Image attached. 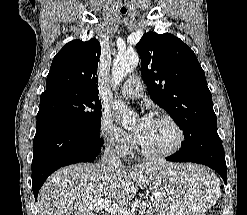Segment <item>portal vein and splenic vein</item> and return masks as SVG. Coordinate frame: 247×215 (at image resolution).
I'll return each mask as SVG.
<instances>
[{"mask_svg": "<svg viewBox=\"0 0 247 215\" xmlns=\"http://www.w3.org/2000/svg\"><path fill=\"white\" fill-rule=\"evenodd\" d=\"M139 207V202L136 201L132 204L131 209L124 208L123 206H119L118 204L112 203L109 200H100L94 206L96 211L101 209H105L107 212L111 213V215H134V211Z\"/></svg>", "mask_w": 247, "mask_h": 215, "instance_id": "obj_1", "label": "portal vein and splenic vein"}]
</instances>
